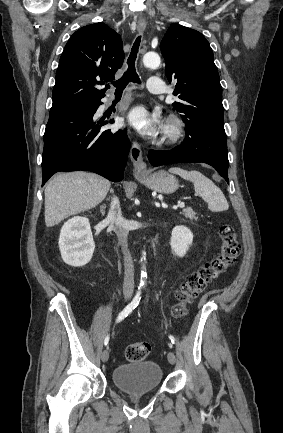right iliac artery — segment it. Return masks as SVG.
<instances>
[{"label":"right iliac artery","instance_id":"82829eb1","mask_svg":"<svg viewBox=\"0 0 283 433\" xmlns=\"http://www.w3.org/2000/svg\"><path fill=\"white\" fill-rule=\"evenodd\" d=\"M141 296H140V292H138L136 294V296L133 298L132 302L130 304H128L123 310L122 312L119 314L118 318H117V322L122 321L125 317H127L132 310H134L139 302H140ZM109 342V336H107L104 340V345L106 346Z\"/></svg>","mask_w":283,"mask_h":433}]
</instances>
